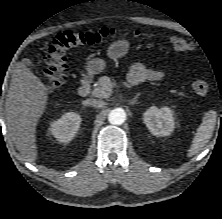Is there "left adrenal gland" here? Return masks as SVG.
Listing matches in <instances>:
<instances>
[{"label": "left adrenal gland", "instance_id": "a2214340", "mask_svg": "<svg viewBox=\"0 0 222 219\" xmlns=\"http://www.w3.org/2000/svg\"><path fill=\"white\" fill-rule=\"evenodd\" d=\"M140 93H137L136 96L130 101V104H135Z\"/></svg>", "mask_w": 222, "mask_h": 219}]
</instances>
